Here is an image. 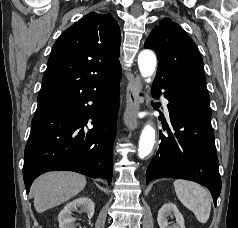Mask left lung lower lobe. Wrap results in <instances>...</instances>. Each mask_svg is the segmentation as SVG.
<instances>
[{
    "instance_id": "left-lung-lower-lobe-1",
    "label": "left lung lower lobe",
    "mask_w": 238,
    "mask_h": 228,
    "mask_svg": "<svg viewBox=\"0 0 238 228\" xmlns=\"http://www.w3.org/2000/svg\"><path fill=\"white\" fill-rule=\"evenodd\" d=\"M165 89L169 101L170 126L160 132V146L151 160L146 183L155 178H178L206 186L216 205L221 191L218 158L210 123L211 109L178 92L171 86L153 83L152 93L158 97Z\"/></svg>"
}]
</instances>
